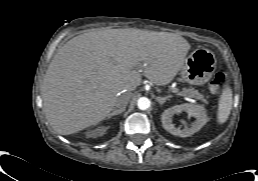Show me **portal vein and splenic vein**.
I'll return each mask as SVG.
<instances>
[{
    "label": "portal vein and splenic vein",
    "instance_id": "1",
    "mask_svg": "<svg viewBox=\"0 0 258 181\" xmlns=\"http://www.w3.org/2000/svg\"><path fill=\"white\" fill-rule=\"evenodd\" d=\"M172 92H173V93H176L177 95H179V92H180V91H179L178 89H173Z\"/></svg>",
    "mask_w": 258,
    "mask_h": 181
}]
</instances>
